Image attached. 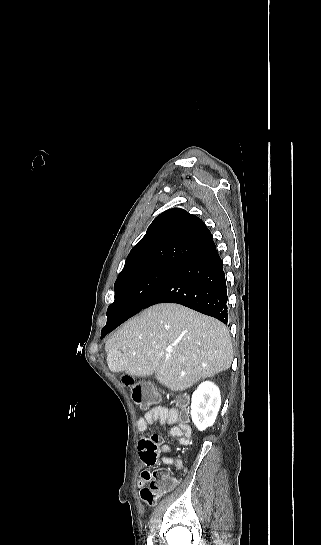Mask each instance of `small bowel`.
I'll return each instance as SVG.
<instances>
[{
  "mask_svg": "<svg viewBox=\"0 0 321 545\" xmlns=\"http://www.w3.org/2000/svg\"><path fill=\"white\" fill-rule=\"evenodd\" d=\"M157 422L163 426H171L173 424H177L176 426L169 428L167 430V434L170 437L176 438L180 444H188L191 437L190 427L186 423L181 422L176 410L171 408L159 406L146 412L138 420L137 429L140 433H144L149 427L155 425ZM159 448H160V451L164 454L170 453L171 451L170 442H162ZM141 460L146 468H150L154 466L155 464H157V457L154 460H148L144 457V455H141ZM161 461L162 463L166 465H171L176 468H181L183 465L182 460L173 459L168 456H163L161 458ZM151 476H152V473L149 470H144L141 473V477L137 481V486L139 488L145 487L147 482L150 480ZM172 478L178 483V478L176 477H172Z\"/></svg>",
  "mask_w": 321,
  "mask_h": 545,
  "instance_id": "c3829d8e",
  "label": "small bowel"
}]
</instances>
